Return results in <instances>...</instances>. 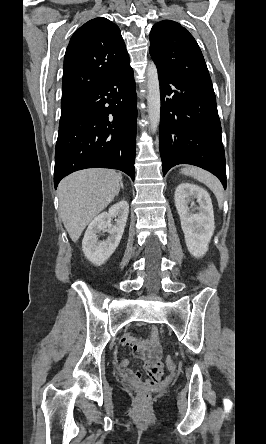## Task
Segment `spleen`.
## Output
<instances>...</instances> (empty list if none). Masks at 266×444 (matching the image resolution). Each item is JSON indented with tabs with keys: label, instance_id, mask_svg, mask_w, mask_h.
<instances>
[{
	"label": "spleen",
	"instance_id": "1",
	"mask_svg": "<svg viewBox=\"0 0 266 444\" xmlns=\"http://www.w3.org/2000/svg\"><path fill=\"white\" fill-rule=\"evenodd\" d=\"M181 172L207 185L215 194L219 206L223 205V188L220 181L215 176L205 170L193 166L182 168Z\"/></svg>",
	"mask_w": 266,
	"mask_h": 444
}]
</instances>
